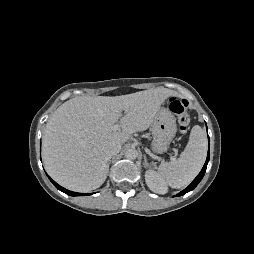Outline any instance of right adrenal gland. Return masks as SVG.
Wrapping results in <instances>:
<instances>
[{
	"mask_svg": "<svg viewBox=\"0 0 254 254\" xmlns=\"http://www.w3.org/2000/svg\"><path fill=\"white\" fill-rule=\"evenodd\" d=\"M110 163H111V161L109 160V161H108V164H107V173L109 172Z\"/></svg>",
	"mask_w": 254,
	"mask_h": 254,
	"instance_id": "2a0ac1e0",
	"label": "right adrenal gland"
}]
</instances>
